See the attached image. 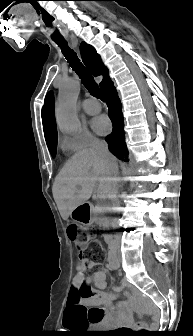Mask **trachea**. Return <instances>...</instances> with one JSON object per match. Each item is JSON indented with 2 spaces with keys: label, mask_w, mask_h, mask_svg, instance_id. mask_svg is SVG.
<instances>
[{
  "label": "trachea",
  "mask_w": 193,
  "mask_h": 336,
  "mask_svg": "<svg viewBox=\"0 0 193 336\" xmlns=\"http://www.w3.org/2000/svg\"><path fill=\"white\" fill-rule=\"evenodd\" d=\"M56 44L61 48V51L64 57L67 59L71 68L78 74L83 85L87 88V90L96 98L103 99L99 86L94 81V78L90 71L82 64L80 59L78 58L76 52L71 49L67 41L57 40Z\"/></svg>",
  "instance_id": "obj_1"
}]
</instances>
